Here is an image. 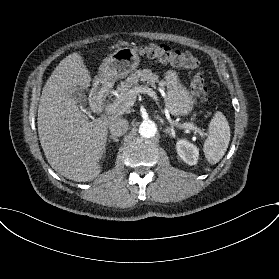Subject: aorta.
<instances>
[{
	"mask_svg": "<svg viewBox=\"0 0 279 279\" xmlns=\"http://www.w3.org/2000/svg\"><path fill=\"white\" fill-rule=\"evenodd\" d=\"M139 133L142 137L150 138L157 133V126L152 120H145L140 124Z\"/></svg>",
	"mask_w": 279,
	"mask_h": 279,
	"instance_id": "1",
	"label": "aorta"
}]
</instances>
